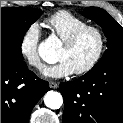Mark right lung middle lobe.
<instances>
[{
  "instance_id": "dd1d6c3e",
  "label": "right lung middle lobe",
  "mask_w": 123,
  "mask_h": 123,
  "mask_svg": "<svg viewBox=\"0 0 123 123\" xmlns=\"http://www.w3.org/2000/svg\"><path fill=\"white\" fill-rule=\"evenodd\" d=\"M41 14L40 9L1 8V56L23 61L21 52L23 37Z\"/></svg>"
}]
</instances>
